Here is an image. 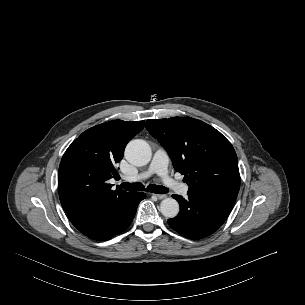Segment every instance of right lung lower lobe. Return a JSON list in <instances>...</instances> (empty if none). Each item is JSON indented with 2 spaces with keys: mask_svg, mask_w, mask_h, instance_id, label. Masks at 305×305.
<instances>
[{
  "mask_svg": "<svg viewBox=\"0 0 305 305\" xmlns=\"http://www.w3.org/2000/svg\"><path fill=\"white\" fill-rule=\"evenodd\" d=\"M145 193H129L115 201L69 217L71 223L85 236L106 241L123 232L131 224L139 202Z\"/></svg>",
  "mask_w": 305,
  "mask_h": 305,
  "instance_id": "1",
  "label": "right lung lower lobe"
}]
</instances>
